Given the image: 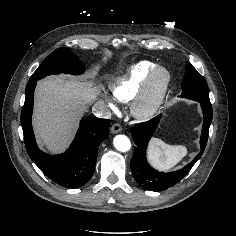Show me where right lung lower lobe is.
<instances>
[{
  "label": "right lung lower lobe",
  "instance_id": "1",
  "mask_svg": "<svg viewBox=\"0 0 236 236\" xmlns=\"http://www.w3.org/2000/svg\"><path fill=\"white\" fill-rule=\"evenodd\" d=\"M36 82L29 83L21 112L26 150L38 168L55 183L68 188L83 186L91 178L98 154V146L109 136L110 120L91 118L82 120L70 148L60 155L43 153L36 145L31 124L33 94Z\"/></svg>",
  "mask_w": 236,
  "mask_h": 236
}]
</instances>
